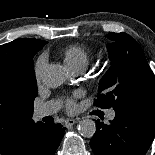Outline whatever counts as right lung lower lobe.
<instances>
[{"label": "right lung lower lobe", "mask_w": 155, "mask_h": 155, "mask_svg": "<svg viewBox=\"0 0 155 155\" xmlns=\"http://www.w3.org/2000/svg\"><path fill=\"white\" fill-rule=\"evenodd\" d=\"M64 131L60 124L33 122L4 155H54Z\"/></svg>", "instance_id": "right-lung-lower-lobe-1"}]
</instances>
